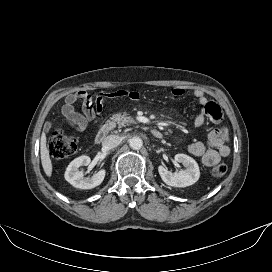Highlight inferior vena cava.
Returning a JSON list of instances; mask_svg holds the SVG:
<instances>
[{
	"label": "inferior vena cava",
	"instance_id": "602c4592",
	"mask_svg": "<svg viewBox=\"0 0 272 272\" xmlns=\"http://www.w3.org/2000/svg\"><path fill=\"white\" fill-rule=\"evenodd\" d=\"M120 143L121 137H119L118 135H109L104 139L102 145L107 149H113L117 147Z\"/></svg>",
	"mask_w": 272,
	"mask_h": 272
}]
</instances>
